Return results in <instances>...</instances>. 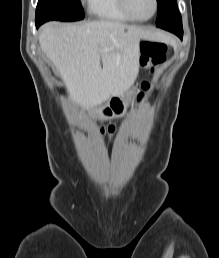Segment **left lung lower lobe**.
Returning <instances> with one entry per match:
<instances>
[{"instance_id": "1", "label": "left lung lower lobe", "mask_w": 219, "mask_h": 258, "mask_svg": "<svg viewBox=\"0 0 219 258\" xmlns=\"http://www.w3.org/2000/svg\"><path fill=\"white\" fill-rule=\"evenodd\" d=\"M161 28L176 34L180 39L183 38L182 25H165Z\"/></svg>"}]
</instances>
